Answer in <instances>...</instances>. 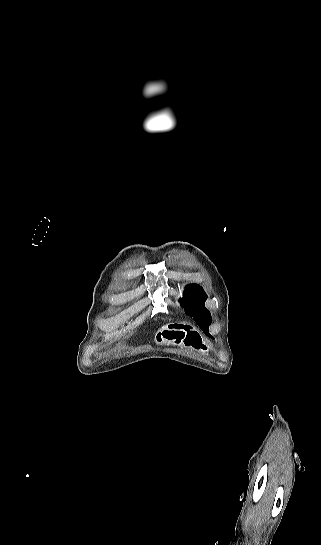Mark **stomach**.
Wrapping results in <instances>:
<instances>
[{
	"label": "stomach",
	"instance_id": "obj_1",
	"mask_svg": "<svg viewBox=\"0 0 321 545\" xmlns=\"http://www.w3.org/2000/svg\"><path fill=\"white\" fill-rule=\"evenodd\" d=\"M154 341L156 345H178L201 353L206 351V343L200 331L190 323H168L157 331Z\"/></svg>",
	"mask_w": 321,
	"mask_h": 545
}]
</instances>
